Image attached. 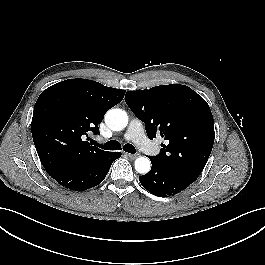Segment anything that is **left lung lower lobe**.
<instances>
[{"instance_id":"obj_1","label":"left lung lower lobe","mask_w":265,"mask_h":265,"mask_svg":"<svg viewBox=\"0 0 265 265\" xmlns=\"http://www.w3.org/2000/svg\"><path fill=\"white\" fill-rule=\"evenodd\" d=\"M149 158L152 163L151 171L140 176L139 180L150 193L160 197H168L181 192L195 181L160 165L151 156Z\"/></svg>"}]
</instances>
